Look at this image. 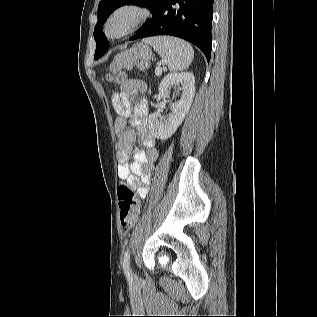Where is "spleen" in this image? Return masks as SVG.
<instances>
[{
    "mask_svg": "<svg viewBox=\"0 0 317 317\" xmlns=\"http://www.w3.org/2000/svg\"><path fill=\"white\" fill-rule=\"evenodd\" d=\"M162 57L170 71L185 70L191 64L194 51L189 43L169 36L152 37L144 40Z\"/></svg>",
    "mask_w": 317,
    "mask_h": 317,
    "instance_id": "spleen-1",
    "label": "spleen"
}]
</instances>
